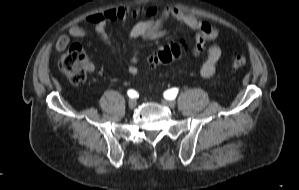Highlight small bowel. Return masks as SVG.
Here are the masks:
<instances>
[{
  "instance_id": "obj_1",
  "label": "small bowel",
  "mask_w": 299,
  "mask_h": 190,
  "mask_svg": "<svg viewBox=\"0 0 299 190\" xmlns=\"http://www.w3.org/2000/svg\"><path fill=\"white\" fill-rule=\"evenodd\" d=\"M141 17L145 19L137 22L127 34V44H130L136 38L150 39L162 36L165 33L163 28L164 22L168 19H173L195 32V45L192 49V56L194 59H197L204 51L206 41L215 39L219 34L218 29L212 24L174 7H165L161 11L153 5L129 8L116 7L103 12L92 13L87 16L86 21L94 26L96 33L107 44L113 46L107 31L108 24L117 21H126L129 18ZM85 35L86 31L82 27L73 26L69 29L68 35H64L58 39L55 48L58 51H63L70 44L71 37L82 38ZM113 50L116 51L114 47ZM222 55L223 52L220 46L213 44L209 47L207 58L200 68L202 77L209 78L215 73ZM126 68L132 75L140 73V68L137 65V51H134V55ZM87 69L90 71L93 70L94 64L87 62Z\"/></svg>"
}]
</instances>
